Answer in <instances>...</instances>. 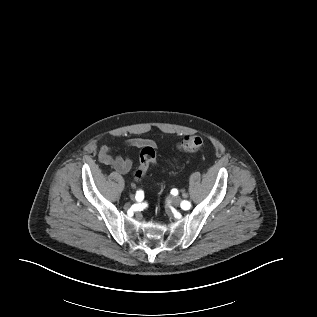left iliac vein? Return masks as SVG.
<instances>
[{
	"mask_svg": "<svg viewBox=\"0 0 317 317\" xmlns=\"http://www.w3.org/2000/svg\"><path fill=\"white\" fill-rule=\"evenodd\" d=\"M170 201L174 206H179L181 203V198L179 196H172Z\"/></svg>",
	"mask_w": 317,
	"mask_h": 317,
	"instance_id": "obj_1",
	"label": "left iliac vein"
}]
</instances>
